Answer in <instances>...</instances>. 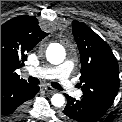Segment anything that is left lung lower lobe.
<instances>
[{
  "mask_svg": "<svg viewBox=\"0 0 122 122\" xmlns=\"http://www.w3.org/2000/svg\"><path fill=\"white\" fill-rule=\"evenodd\" d=\"M67 104L61 113L66 122H94L101 118L107 111V107L90 99L75 100L65 95Z\"/></svg>",
  "mask_w": 122,
  "mask_h": 122,
  "instance_id": "1",
  "label": "left lung lower lobe"
}]
</instances>
